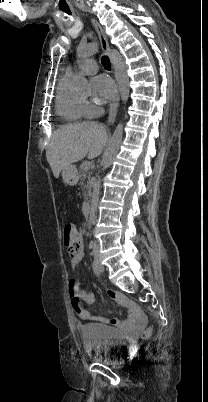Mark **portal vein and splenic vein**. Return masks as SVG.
I'll return each mask as SVG.
<instances>
[{"mask_svg": "<svg viewBox=\"0 0 208 402\" xmlns=\"http://www.w3.org/2000/svg\"><path fill=\"white\" fill-rule=\"evenodd\" d=\"M82 168L83 170H89V168H91L90 162H83Z\"/></svg>", "mask_w": 208, "mask_h": 402, "instance_id": "18ae733b", "label": "portal vein and splenic vein"}]
</instances>
